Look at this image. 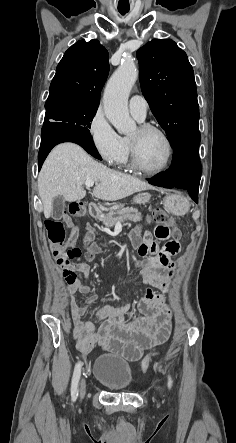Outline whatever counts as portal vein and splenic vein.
Returning a JSON list of instances; mask_svg holds the SVG:
<instances>
[{
	"instance_id": "18ae733b",
	"label": "portal vein and splenic vein",
	"mask_w": 236,
	"mask_h": 443,
	"mask_svg": "<svg viewBox=\"0 0 236 443\" xmlns=\"http://www.w3.org/2000/svg\"><path fill=\"white\" fill-rule=\"evenodd\" d=\"M93 185H94V181H92V180H88L85 182L86 188H91Z\"/></svg>"
}]
</instances>
